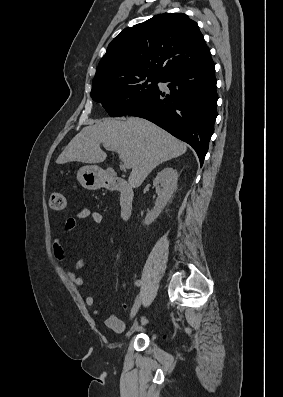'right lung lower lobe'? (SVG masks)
Returning <instances> with one entry per match:
<instances>
[{
	"instance_id": "98d812e1",
	"label": "right lung lower lobe",
	"mask_w": 283,
	"mask_h": 397,
	"mask_svg": "<svg viewBox=\"0 0 283 397\" xmlns=\"http://www.w3.org/2000/svg\"><path fill=\"white\" fill-rule=\"evenodd\" d=\"M214 66L211 59L171 73L162 80L168 83L170 95L158 90L128 115L145 118L185 141L202 164L217 117Z\"/></svg>"
}]
</instances>
